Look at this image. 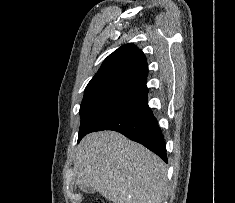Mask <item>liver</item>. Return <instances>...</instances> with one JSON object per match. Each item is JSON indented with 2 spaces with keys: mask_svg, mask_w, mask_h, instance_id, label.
<instances>
[{
  "mask_svg": "<svg viewBox=\"0 0 235 203\" xmlns=\"http://www.w3.org/2000/svg\"><path fill=\"white\" fill-rule=\"evenodd\" d=\"M74 171L79 185L92 187L113 203H162L166 195L165 163L115 131L86 135Z\"/></svg>",
  "mask_w": 235,
  "mask_h": 203,
  "instance_id": "liver-1",
  "label": "liver"
}]
</instances>
